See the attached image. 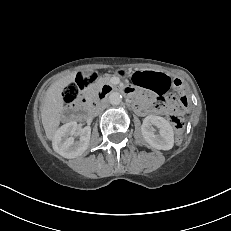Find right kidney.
<instances>
[{
  "label": "right kidney",
  "mask_w": 231,
  "mask_h": 231,
  "mask_svg": "<svg viewBox=\"0 0 231 231\" xmlns=\"http://www.w3.org/2000/svg\"><path fill=\"white\" fill-rule=\"evenodd\" d=\"M77 122H69L61 126L55 133L52 145L55 152L64 158H76L82 155L89 146L91 128L85 127L80 132L79 141H74Z\"/></svg>",
  "instance_id": "ca27d5eb"
}]
</instances>
